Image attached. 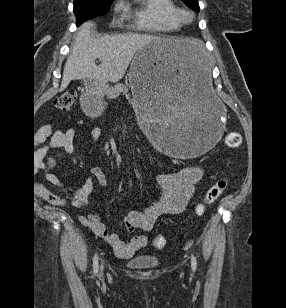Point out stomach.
<instances>
[{"label":"stomach","instance_id":"1","mask_svg":"<svg viewBox=\"0 0 286 308\" xmlns=\"http://www.w3.org/2000/svg\"><path fill=\"white\" fill-rule=\"evenodd\" d=\"M199 40L162 36L142 44L129 70V85L139 114L147 125L148 144L166 159H197L213 144H224L223 100L212 86V55ZM84 109L99 114L106 107V85L85 81Z\"/></svg>","mask_w":286,"mask_h":308}]
</instances>
